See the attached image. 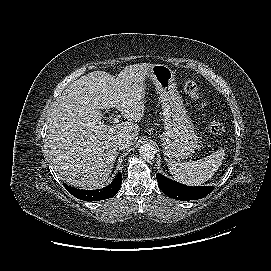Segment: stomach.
I'll return each mask as SVG.
<instances>
[{
	"label": "stomach",
	"instance_id": "1",
	"mask_svg": "<svg viewBox=\"0 0 271 271\" xmlns=\"http://www.w3.org/2000/svg\"><path fill=\"white\" fill-rule=\"evenodd\" d=\"M147 78L155 85L162 105L164 132L161 135L166 161L187 158L198 146V135L177 90L175 73L167 65L154 64Z\"/></svg>",
	"mask_w": 271,
	"mask_h": 271
}]
</instances>
